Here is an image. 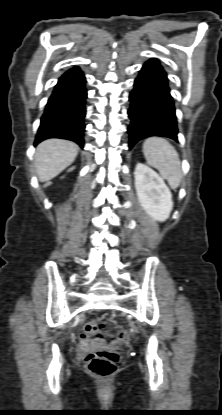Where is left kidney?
Segmentation results:
<instances>
[{
    "mask_svg": "<svg viewBox=\"0 0 222 415\" xmlns=\"http://www.w3.org/2000/svg\"><path fill=\"white\" fill-rule=\"evenodd\" d=\"M138 200L155 221L168 219L173 208L172 194L164 180L150 167L138 163L134 172Z\"/></svg>",
    "mask_w": 222,
    "mask_h": 415,
    "instance_id": "left-kidney-1",
    "label": "left kidney"
}]
</instances>
